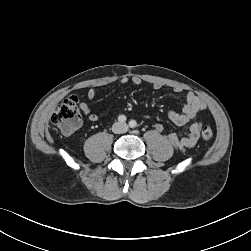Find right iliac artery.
<instances>
[{"label": "right iliac artery", "mask_w": 251, "mask_h": 251, "mask_svg": "<svg viewBox=\"0 0 251 251\" xmlns=\"http://www.w3.org/2000/svg\"><path fill=\"white\" fill-rule=\"evenodd\" d=\"M118 121L121 122V123H124L126 121V117L124 115H120L118 117Z\"/></svg>", "instance_id": "right-iliac-artery-1"}]
</instances>
